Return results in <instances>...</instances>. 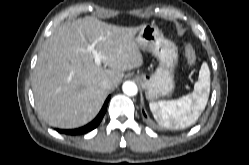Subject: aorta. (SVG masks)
<instances>
[{
    "instance_id": "aorta-1",
    "label": "aorta",
    "mask_w": 249,
    "mask_h": 165,
    "mask_svg": "<svg viewBox=\"0 0 249 165\" xmlns=\"http://www.w3.org/2000/svg\"><path fill=\"white\" fill-rule=\"evenodd\" d=\"M122 90L128 96H135L138 92L137 85L132 81H125L122 85Z\"/></svg>"
}]
</instances>
